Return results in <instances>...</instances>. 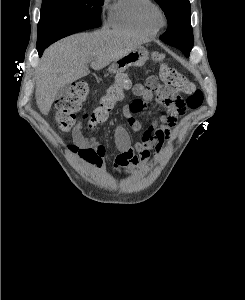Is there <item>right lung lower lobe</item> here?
<instances>
[{
    "label": "right lung lower lobe",
    "instance_id": "obj_1",
    "mask_svg": "<svg viewBox=\"0 0 245 300\" xmlns=\"http://www.w3.org/2000/svg\"><path fill=\"white\" fill-rule=\"evenodd\" d=\"M100 25H101V22L100 23H94V24L87 25L86 28L87 29L96 28V27H99ZM48 46L49 45H43V46H38L37 47V50H38V53H39L40 56L42 55L44 49Z\"/></svg>",
    "mask_w": 245,
    "mask_h": 300
}]
</instances>
